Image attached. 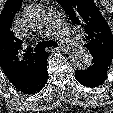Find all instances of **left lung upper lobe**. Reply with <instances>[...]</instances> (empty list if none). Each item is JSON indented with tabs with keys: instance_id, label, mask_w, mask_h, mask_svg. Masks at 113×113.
<instances>
[{
	"instance_id": "1",
	"label": "left lung upper lobe",
	"mask_w": 113,
	"mask_h": 113,
	"mask_svg": "<svg viewBox=\"0 0 113 113\" xmlns=\"http://www.w3.org/2000/svg\"><path fill=\"white\" fill-rule=\"evenodd\" d=\"M73 22L84 31L85 47L92 56L113 59V35L93 0H57Z\"/></svg>"
}]
</instances>
